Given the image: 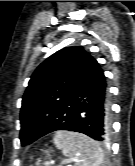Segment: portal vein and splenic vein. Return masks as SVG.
<instances>
[{
  "label": "portal vein and splenic vein",
  "instance_id": "18ae733b",
  "mask_svg": "<svg viewBox=\"0 0 135 166\" xmlns=\"http://www.w3.org/2000/svg\"><path fill=\"white\" fill-rule=\"evenodd\" d=\"M66 163H68V162H66ZM45 165H46V166H50V163H49V162H47V163H45Z\"/></svg>",
  "mask_w": 135,
  "mask_h": 166
}]
</instances>
